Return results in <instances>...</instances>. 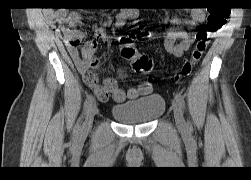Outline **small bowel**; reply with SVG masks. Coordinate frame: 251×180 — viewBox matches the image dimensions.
Wrapping results in <instances>:
<instances>
[{"label":"small bowel","mask_w":251,"mask_h":180,"mask_svg":"<svg viewBox=\"0 0 251 180\" xmlns=\"http://www.w3.org/2000/svg\"><path fill=\"white\" fill-rule=\"evenodd\" d=\"M51 16L55 24L61 28L68 52L82 74L85 83L93 90L100 101H107L112 97L115 102L122 103L127 99H137L151 94L152 85L148 82H143L137 87L123 89L119 86L117 79L109 77L101 84L96 73V70L100 67V63L95 56V52L99 38L105 33L104 30L98 29L96 37L84 44L82 53L80 54L79 46L86 37L85 33L78 28V25L83 20L82 15L77 12L62 9L52 12ZM138 16L139 11L134 7L122 9L116 16L115 25L122 27L127 21L136 20ZM204 20V11L200 8H195L191 12L190 19L183 20L174 17L171 23L174 26L181 24L196 26L203 23ZM64 23H66L67 26H64ZM191 44V36L185 30L173 27L166 32L164 47L165 50L174 57H182L190 48Z\"/></svg>","instance_id":"c3829d8e"}]
</instances>
